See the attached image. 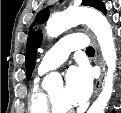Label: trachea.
<instances>
[{"label": "trachea", "mask_w": 121, "mask_h": 113, "mask_svg": "<svg viewBox=\"0 0 121 113\" xmlns=\"http://www.w3.org/2000/svg\"><path fill=\"white\" fill-rule=\"evenodd\" d=\"M86 53H94V48L89 46L87 49H86Z\"/></svg>", "instance_id": "trachea-1"}]
</instances>
